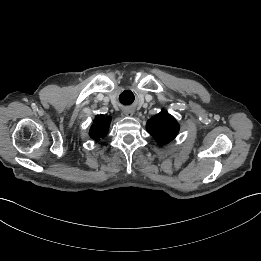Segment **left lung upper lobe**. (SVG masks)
Wrapping results in <instances>:
<instances>
[{
    "label": "left lung upper lobe",
    "instance_id": "5c2ea615",
    "mask_svg": "<svg viewBox=\"0 0 261 261\" xmlns=\"http://www.w3.org/2000/svg\"><path fill=\"white\" fill-rule=\"evenodd\" d=\"M146 128L153 138L162 144L172 141L179 131L177 121L165 110L149 119Z\"/></svg>",
    "mask_w": 261,
    "mask_h": 261
}]
</instances>
